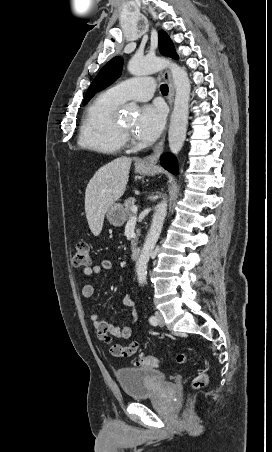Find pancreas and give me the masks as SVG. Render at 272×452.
<instances>
[{
  "mask_svg": "<svg viewBox=\"0 0 272 452\" xmlns=\"http://www.w3.org/2000/svg\"><path fill=\"white\" fill-rule=\"evenodd\" d=\"M135 198L129 197L124 201V210L126 217L132 216V207L134 206ZM140 236V229L136 230V238L131 240V248H135L137 245L138 237Z\"/></svg>",
  "mask_w": 272,
  "mask_h": 452,
  "instance_id": "1",
  "label": "pancreas"
}]
</instances>
